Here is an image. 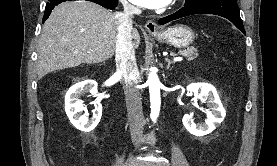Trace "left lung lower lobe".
<instances>
[{
	"instance_id": "0a47b994",
	"label": "left lung lower lobe",
	"mask_w": 277,
	"mask_h": 166,
	"mask_svg": "<svg viewBox=\"0 0 277 166\" xmlns=\"http://www.w3.org/2000/svg\"><path fill=\"white\" fill-rule=\"evenodd\" d=\"M194 14H214L230 20L245 34L239 8L236 0H199L191 5L184 6L174 14L161 18L159 24H166L185 16Z\"/></svg>"
}]
</instances>
